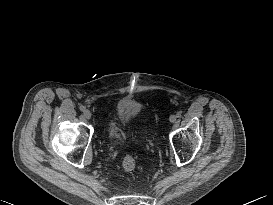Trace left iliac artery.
<instances>
[{"label":"left iliac artery","mask_w":273,"mask_h":205,"mask_svg":"<svg viewBox=\"0 0 273 205\" xmlns=\"http://www.w3.org/2000/svg\"><path fill=\"white\" fill-rule=\"evenodd\" d=\"M177 117L179 118V117H181V112L179 111V112H177Z\"/></svg>","instance_id":"left-iliac-artery-1"}]
</instances>
